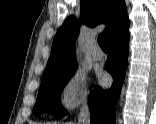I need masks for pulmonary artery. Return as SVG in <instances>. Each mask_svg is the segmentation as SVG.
Instances as JSON below:
<instances>
[{
	"instance_id": "pulmonary-artery-1",
	"label": "pulmonary artery",
	"mask_w": 156,
	"mask_h": 124,
	"mask_svg": "<svg viewBox=\"0 0 156 124\" xmlns=\"http://www.w3.org/2000/svg\"><path fill=\"white\" fill-rule=\"evenodd\" d=\"M92 57H93L95 60H101V59H103L104 54H103V52H102L101 49H99L98 47H95V48L92 50Z\"/></svg>"
}]
</instances>
